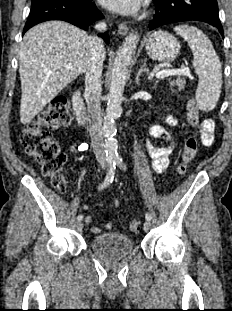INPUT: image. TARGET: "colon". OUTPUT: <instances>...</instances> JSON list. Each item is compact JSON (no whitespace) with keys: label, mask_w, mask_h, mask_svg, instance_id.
Segmentation results:
<instances>
[{"label":"colon","mask_w":232,"mask_h":311,"mask_svg":"<svg viewBox=\"0 0 232 311\" xmlns=\"http://www.w3.org/2000/svg\"><path fill=\"white\" fill-rule=\"evenodd\" d=\"M186 119L191 128L187 137L178 167L179 173H184L189 163L195 158L198 150V139L194 129L200 122L199 108L195 101L190 100L186 107ZM70 123L68 101L64 96L55 97L49 105L40 112L35 120L30 122L21 132V142L26 152L40 166L44 176L51 179L52 184L61 191L68 187V177L63 172L66 155L50 132L67 126ZM128 229L136 232L138 222L132 220Z\"/></svg>","instance_id":"obj_1"}]
</instances>
